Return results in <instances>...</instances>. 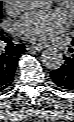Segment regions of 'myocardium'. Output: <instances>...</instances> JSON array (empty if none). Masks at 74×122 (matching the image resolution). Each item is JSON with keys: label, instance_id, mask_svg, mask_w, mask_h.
Here are the masks:
<instances>
[{"label": "myocardium", "instance_id": "1", "mask_svg": "<svg viewBox=\"0 0 74 122\" xmlns=\"http://www.w3.org/2000/svg\"><path fill=\"white\" fill-rule=\"evenodd\" d=\"M58 3L67 11L73 9L74 1H58Z\"/></svg>", "mask_w": 74, "mask_h": 122}]
</instances>
